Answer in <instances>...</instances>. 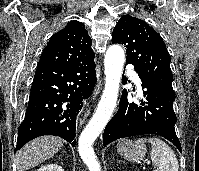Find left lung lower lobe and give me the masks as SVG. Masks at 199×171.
I'll return each instance as SVG.
<instances>
[{
  "label": "left lung lower lobe",
  "mask_w": 199,
  "mask_h": 171,
  "mask_svg": "<svg viewBox=\"0 0 199 171\" xmlns=\"http://www.w3.org/2000/svg\"><path fill=\"white\" fill-rule=\"evenodd\" d=\"M140 79L143 88L141 105L129 104L127 90H123L119 109L105 128L103 145L106 146L124 137L155 134L166 138L181 151V144L175 132L177 120L173 110L175 93ZM122 82L126 84L127 81L122 79Z\"/></svg>",
  "instance_id": "1"
}]
</instances>
